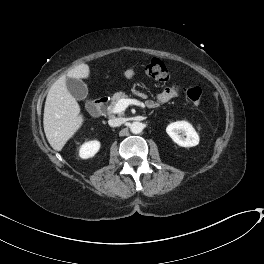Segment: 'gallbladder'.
Listing matches in <instances>:
<instances>
[{"label":"gallbladder","instance_id":"bac80fb5","mask_svg":"<svg viewBox=\"0 0 264 264\" xmlns=\"http://www.w3.org/2000/svg\"><path fill=\"white\" fill-rule=\"evenodd\" d=\"M66 84L69 92L76 100H84L88 94L87 85L80 79L67 78ZM87 108H92V103H86Z\"/></svg>","mask_w":264,"mask_h":264}]
</instances>
